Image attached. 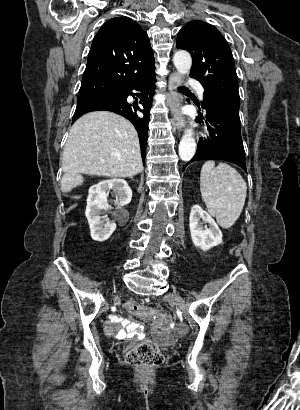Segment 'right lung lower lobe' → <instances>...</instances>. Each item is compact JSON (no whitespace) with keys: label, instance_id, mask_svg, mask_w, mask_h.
Instances as JSON below:
<instances>
[{"label":"right lung lower lobe","instance_id":"98d812e1","mask_svg":"<svg viewBox=\"0 0 300 410\" xmlns=\"http://www.w3.org/2000/svg\"><path fill=\"white\" fill-rule=\"evenodd\" d=\"M155 82V75L152 74L141 80L128 82L126 86L121 89L120 95H103L79 101L77 102L73 121L87 112L96 110L112 111L124 116L138 131L141 155L144 161L150 109L152 107L153 95L155 94ZM133 90H136L139 93L135 94L133 93ZM129 95L133 97L135 95L139 96L141 98L140 106L135 103H128L127 97Z\"/></svg>","mask_w":300,"mask_h":410}]
</instances>
